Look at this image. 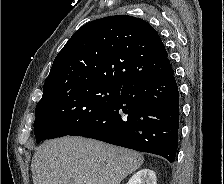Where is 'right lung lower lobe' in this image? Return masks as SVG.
<instances>
[{"instance_id":"98d812e1","label":"right lung lower lobe","mask_w":224,"mask_h":184,"mask_svg":"<svg viewBox=\"0 0 224 184\" xmlns=\"http://www.w3.org/2000/svg\"><path fill=\"white\" fill-rule=\"evenodd\" d=\"M179 92L174 71L124 85L119 97L93 120L71 132L175 161Z\"/></svg>"}]
</instances>
